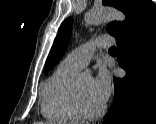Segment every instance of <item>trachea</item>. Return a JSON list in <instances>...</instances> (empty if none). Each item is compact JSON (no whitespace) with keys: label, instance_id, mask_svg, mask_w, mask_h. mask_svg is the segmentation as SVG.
Returning <instances> with one entry per match:
<instances>
[{"label":"trachea","instance_id":"trachea-1","mask_svg":"<svg viewBox=\"0 0 156 124\" xmlns=\"http://www.w3.org/2000/svg\"><path fill=\"white\" fill-rule=\"evenodd\" d=\"M109 51H117V49H116V47H111L110 49H109Z\"/></svg>","mask_w":156,"mask_h":124}]
</instances>
